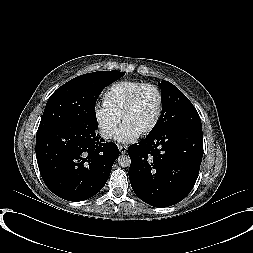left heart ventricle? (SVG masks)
I'll list each match as a JSON object with an SVG mask.
<instances>
[{
    "mask_svg": "<svg viewBox=\"0 0 253 253\" xmlns=\"http://www.w3.org/2000/svg\"><path fill=\"white\" fill-rule=\"evenodd\" d=\"M157 108V93L151 88L145 89L139 95L135 105L126 115L124 123L139 133L151 124L156 114Z\"/></svg>",
    "mask_w": 253,
    "mask_h": 253,
    "instance_id": "b2bd125f",
    "label": "left heart ventricle"
}]
</instances>
